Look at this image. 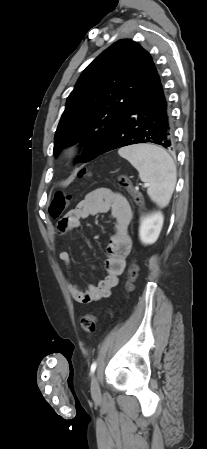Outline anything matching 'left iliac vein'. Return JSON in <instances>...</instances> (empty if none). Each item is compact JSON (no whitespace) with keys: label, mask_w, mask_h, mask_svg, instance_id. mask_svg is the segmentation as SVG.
<instances>
[{"label":"left iliac vein","mask_w":207,"mask_h":449,"mask_svg":"<svg viewBox=\"0 0 207 449\" xmlns=\"http://www.w3.org/2000/svg\"><path fill=\"white\" fill-rule=\"evenodd\" d=\"M91 395L93 398H99L101 395L100 386L98 382V377L96 374L92 375L91 378Z\"/></svg>","instance_id":"obj_1"}]
</instances>
